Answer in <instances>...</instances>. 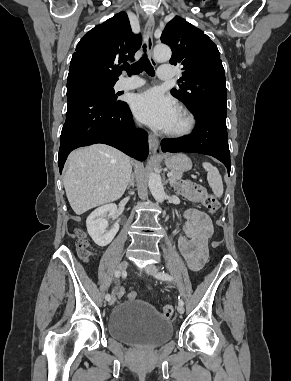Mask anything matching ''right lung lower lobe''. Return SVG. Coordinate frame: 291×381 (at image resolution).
<instances>
[{"label": "right lung lower lobe", "mask_w": 291, "mask_h": 381, "mask_svg": "<svg viewBox=\"0 0 291 381\" xmlns=\"http://www.w3.org/2000/svg\"><path fill=\"white\" fill-rule=\"evenodd\" d=\"M67 99L58 155L60 173L72 150L94 143L108 144L137 160L147 158L148 135L134 129L125 102L110 101L91 81L77 77L67 80Z\"/></svg>", "instance_id": "obj_1"}]
</instances>
